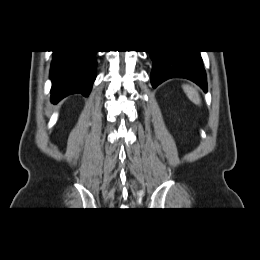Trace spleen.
Masks as SVG:
<instances>
[{
    "mask_svg": "<svg viewBox=\"0 0 260 260\" xmlns=\"http://www.w3.org/2000/svg\"><path fill=\"white\" fill-rule=\"evenodd\" d=\"M182 87H183L185 94L190 99V101L196 105H200L201 99H200L197 89L190 85H183Z\"/></svg>",
    "mask_w": 260,
    "mask_h": 260,
    "instance_id": "1",
    "label": "spleen"
}]
</instances>
